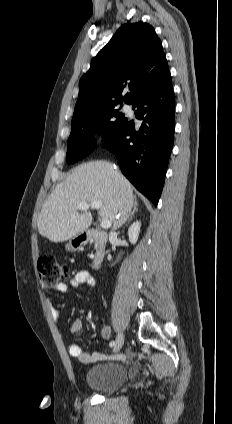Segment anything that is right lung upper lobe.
I'll return each instance as SVG.
<instances>
[{"mask_svg": "<svg viewBox=\"0 0 232 424\" xmlns=\"http://www.w3.org/2000/svg\"><path fill=\"white\" fill-rule=\"evenodd\" d=\"M162 44L148 23H126L92 60L79 82L73 118L122 100L133 104L168 72ZM126 85L129 93L122 97Z\"/></svg>", "mask_w": 232, "mask_h": 424, "instance_id": "obj_1", "label": "right lung upper lobe"}]
</instances>
